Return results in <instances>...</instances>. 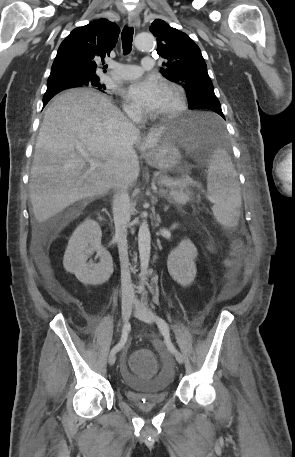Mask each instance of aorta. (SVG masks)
Returning <instances> with one entry per match:
<instances>
[{"instance_id": "1", "label": "aorta", "mask_w": 295, "mask_h": 457, "mask_svg": "<svg viewBox=\"0 0 295 457\" xmlns=\"http://www.w3.org/2000/svg\"><path fill=\"white\" fill-rule=\"evenodd\" d=\"M135 46L139 50H150L154 47V37L149 33H140L135 37ZM138 247L142 282L146 280L149 267L151 235L147 222H142L138 232ZM142 289V286L140 287Z\"/></svg>"}]
</instances>
